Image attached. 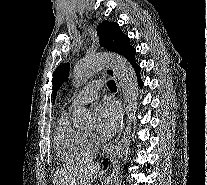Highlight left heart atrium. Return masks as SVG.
<instances>
[{"label":"left heart atrium","instance_id":"1","mask_svg":"<svg viewBox=\"0 0 207 185\" xmlns=\"http://www.w3.org/2000/svg\"><path fill=\"white\" fill-rule=\"evenodd\" d=\"M95 112L99 134L106 138L111 137L119 126L118 106L110 99H105L96 106Z\"/></svg>","mask_w":207,"mask_h":185}]
</instances>
